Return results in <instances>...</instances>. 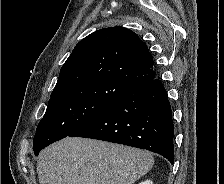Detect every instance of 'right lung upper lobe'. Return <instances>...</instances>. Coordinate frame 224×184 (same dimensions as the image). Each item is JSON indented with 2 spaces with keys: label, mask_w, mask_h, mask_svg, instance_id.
Returning a JSON list of instances; mask_svg holds the SVG:
<instances>
[{
  "label": "right lung upper lobe",
  "mask_w": 224,
  "mask_h": 184,
  "mask_svg": "<svg viewBox=\"0 0 224 184\" xmlns=\"http://www.w3.org/2000/svg\"><path fill=\"white\" fill-rule=\"evenodd\" d=\"M153 79V58L147 45L127 28L109 27L93 32L75 46L51 96L86 81L132 87Z\"/></svg>",
  "instance_id": "right-lung-upper-lobe-1"
}]
</instances>
